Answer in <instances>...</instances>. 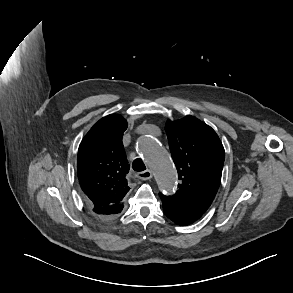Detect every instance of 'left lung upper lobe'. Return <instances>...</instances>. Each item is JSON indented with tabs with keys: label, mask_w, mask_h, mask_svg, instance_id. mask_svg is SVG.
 <instances>
[{
	"label": "left lung upper lobe",
	"mask_w": 293,
	"mask_h": 293,
	"mask_svg": "<svg viewBox=\"0 0 293 293\" xmlns=\"http://www.w3.org/2000/svg\"><path fill=\"white\" fill-rule=\"evenodd\" d=\"M165 129L181 181L171 197L203 214L221 182L224 147L210 126L190 115L178 121L168 120Z\"/></svg>",
	"instance_id": "left-lung-upper-lobe-1"
}]
</instances>
